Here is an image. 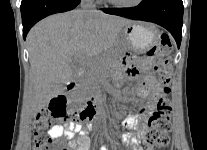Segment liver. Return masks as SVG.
I'll use <instances>...</instances> for the list:
<instances>
[{
  "label": "liver",
  "instance_id": "6515ba94",
  "mask_svg": "<svg viewBox=\"0 0 207 150\" xmlns=\"http://www.w3.org/2000/svg\"><path fill=\"white\" fill-rule=\"evenodd\" d=\"M131 20L101 12L72 10L49 16L28 33L31 74L24 109L34 117L61 94L73 76L75 58L92 60L109 52Z\"/></svg>",
  "mask_w": 207,
  "mask_h": 150
}]
</instances>
